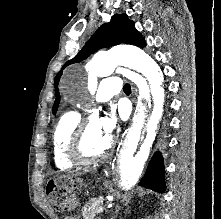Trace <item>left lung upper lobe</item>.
I'll use <instances>...</instances> for the list:
<instances>
[{
    "instance_id": "left-lung-upper-lobe-1",
    "label": "left lung upper lobe",
    "mask_w": 221,
    "mask_h": 219,
    "mask_svg": "<svg viewBox=\"0 0 221 219\" xmlns=\"http://www.w3.org/2000/svg\"><path fill=\"white\" fill-rule=\"evenodd\" d=\"M132 44L139 47H144L146 42L142 35L135 29L134 22L129 20L126 14H116L112 16L111 21L107 24L101 25L94 35L89 39L86 45L79 51V53L69 60L62 68V70L69 64L78 63L89 57L97 50L110 47L118 44ZM62 70L58 72L55 78L56 100L54 102V113L58 109L60 102V94L58 91V83L62 75Z\"/></svg>"
}]
</instances>
